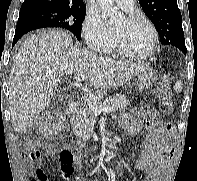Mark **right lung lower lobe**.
I'll list each match as a JSON object with an SVG mask.
<instances>
[{
    "mask_svg": "<svg viewBox=\"0 0 197 181\" xmlns=\"http://www.w3.org/2000/svg\"><path fill=\"white\" fill-rule=\"evenodd\" d=\"M47 27H54V24L38 16L20 13L13 39V46L27 32Z\"/></svg>",
    "mask_w": 197,
    "mask_h": 181,
    "instance_id": "right-lung-lower-lobe-1",
    "label": "right lung lower lobe"
}]
</instances>
